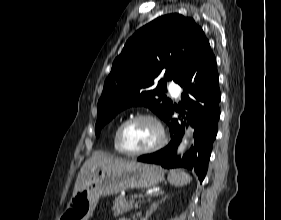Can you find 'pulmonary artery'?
I'll list each match as a JSON object with an SVG mask.
<instances>
[{"instance_id": "e3ab8cb5", "label": "pulmonary artery", "mask_w": 281, "mask_h": 220, "mask_svg": "<svg viewBox=\"0 0 281 220\" xmlns=\"http://www.w3.org/2000/svg\"><path fill=\"white\" fill-rule=\"evenodd\" d=\"M168 89H169V91H170L172 96H174V97H178L179 96L180 88H179V86L177 84H175L173 82L170 83L168 85Z\"/></svg>"}]
</instances>
